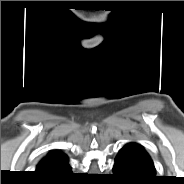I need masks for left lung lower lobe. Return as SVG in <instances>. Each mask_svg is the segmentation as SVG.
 <instances>
[{
  "label": "left lung lower lobe",
  "instance_id": "0a47b994",
  "mask_svg": "<svg viewBox=\"0 0 184 184\" xmlns=\"http://www.w3.org/2000/svg\"><path fill=\"white\" fill-rule=\"evenodd\" d=\"M156 170L147 152L137 143H128L118 153L113 176L120 183L153 184Z\"/></svg>",
  "mask_w": 184,
  "mask_h": 184
}]
</instances>
